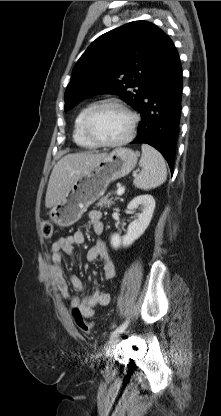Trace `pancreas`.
Segmentation results:
<instances>
[{
    "label": "pancreas",
    "instance_id": "obj_1",
    "mask_svg": "<svg viewBox=\"0 0 221 416\" xmlns=\"http://www.w3.org/2000/svg\"><path fill=\"white\" fill-rule=\"evenodd\" d=\"M111 194H107L106 196L102 197L99 202L96 204L97 207L103 208V207H108L110 208L111 205L114 204L113 198L110 197Z\"/></svg>",
    "mask_w": 221,
    "mask_h": 416
}]
</instances>
